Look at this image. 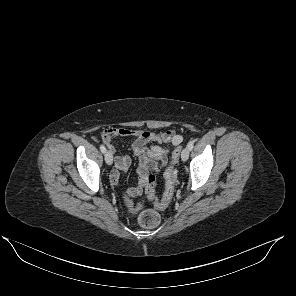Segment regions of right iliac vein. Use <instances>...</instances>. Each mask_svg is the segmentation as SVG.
Returning a JSON list of instances; mask_svg holds the SVG:
<instances>
[{
	"instance_id": "right-iliac-vein-1",
	"label": "right iliac vein",
	"mask_w": 296,
	"mask_h": 296,
	"mask_svg": "<svg viewBox=\"0 0 296 296\" xmlns=\"http://www.w3.org/2000/svg\"><path fill=\"white\" fill-rule=\"evenodd\" d=\"M104 157H105V162L107 163V165H112V163H113V156H112V154L109 151H106L105 152Z\"/></svg>"
}]
</instances>
